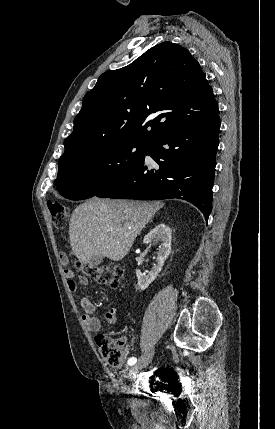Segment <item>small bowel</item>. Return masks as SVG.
<instances>
[{
  "label": "small bowel",
  "instance_id": "small-bowel-1",
  "mask_svg": "<svg viewBox=\"0 0 275 429\" xmlns=\"http://www.w3.org/2000/svg\"><path fill=\"white\" fill-rule=\"evenodd\" d=\"M65 277L67 279V286L71 292H75L77 290V283L74 279V273L70 269H66L64 271ZM80 282L82 284H87V279L80 278ZM81 308L84 311L82 315V320L87 327V329L91 332H98L101 329V318L97 316V310L94 303L87 297H83L80 301ZM104 319L109 324H115L116 322V308H110L105 314Z\"/></svg>",
  "mask_w": 275,
  "mask_h": 429
}]
</instances>
